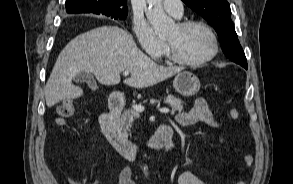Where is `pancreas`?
Segmentation results:
<instances>
[{"mask_svg": "<svg viewBox=\"0 0 293 184\" xmlns=\"http://www.w3.org/2000/svg\"><path fill=\"white\" fill-rule=\"evenodd\" d=\"M169 106L172 108V112H182L183 111V102L181 99L174 97L173 95H169L165 99ZM138 117V112H136L134 109H129L125 111V113L122 115V117L119 119V126L121 129H123V132L127 134V132L130 130V127L132 126V122L134 118Z\"/></svg>", "mask_w": 293, "mask_h": 184, "instance_id": "cf45deb5", "label": "pancreas"}]
</instances>
